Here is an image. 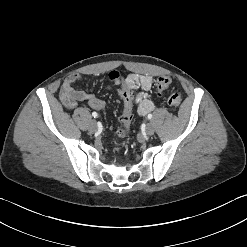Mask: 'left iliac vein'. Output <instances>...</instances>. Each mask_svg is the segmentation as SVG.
I'll list each match as a JSON object with an SVG mask.
<instances>
[{"label":"left iliac vein","instance_id":"1","mask_svg":"<svg viewBox=\"0 0 247 247\" xmlns=\"http://www.w3.org/2000/svg\"><path fill=\"white\" fill-rule=\"evenodd\" d=\"M145 131H146L147 135H149V136L153 135L154 131H155L153 124L152 123H148L146 125Z\"/></svg>","mask_w":247,"mask_h":247}]
</instances>
